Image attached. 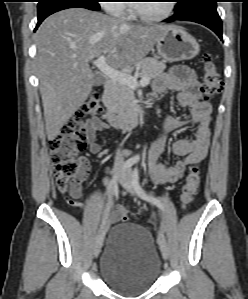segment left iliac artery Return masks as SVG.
Listing matches in <instances>:
<instances>
[{"instance_id": "44dca946", "label": "left iliac artery", "mask_w": 248, "mask_h": 299, "mask_svg": "<svg viewBox=\"0 0 248 299\" xmlns=\"http://www.w3.org/2000/svg\"><path fill=\"white\" fill-rule=\"evenodd\" d=\"M132 185H133L135 191L137 192V194L139 195L140 198H142L143 200H146V201H148V202L156 205L161 210H164L163 203L159 199L154 198L152 196H149L144 191V189L140 186V183H139V172H138V168L137 167L132 171Z\"/></svg>"}]
</instances>
